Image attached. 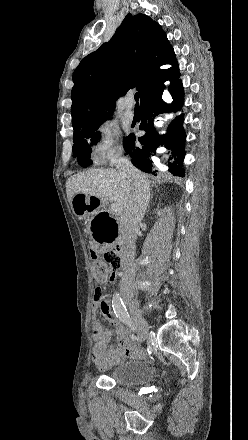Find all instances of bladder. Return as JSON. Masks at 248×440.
<instances>
[{"label": "bladder", "instance_id": "obj_1", "mask_svg": "<svg viewBox=\"0 0 248 440\" xmlns=\"http://www.w3.org/2000/svg\"><path fill=\"white\" fill-rule=\"evenodd\" d=\"M104 376L117 385L134 386L149 381L152 368L142 361H125L107 370Z\"/></svg>", "mask_w": 248, "mask_h": 440}]
</instances>
